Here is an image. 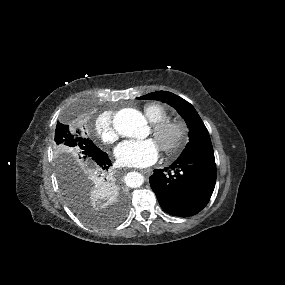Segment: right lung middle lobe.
Wrapping results in <instances>:
<instances>
[{
    "label": "right lung middle lobe",
    "mask_w": 285,
    "mask_h": 285,
    "mask_svg": "<svg viewBox=\"0 0 285 285\" xmlns=\"http://www.w3.org/2000/svg\"><path fill=\"white\" fill-rule=\"evenodd\" d=\"M55 141L58 145L57 174L62 193L70 208L82 220L97 227H108L117 223L121 215L111 220L99 218L89 205L90 193L95 183L102 181L103 173L96 159L102 152L95 144L70 130L68 125L57 123Z\"/></svg>",
    "instance_id": "dd1d6c3e"
}]
</instances>
